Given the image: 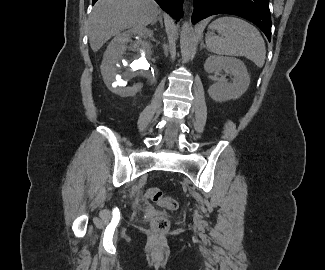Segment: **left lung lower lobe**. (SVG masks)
<instances>
[{
	"mask_svg": "<svg viewBox=\"0 0 325 270\" xmlns=\"http://www.w3.org/2000/svg\"><path fill=\"white\" fill-rule=\"evenodd\" d=\"M215 14H232L257 25L271 40L269 0H194L192 23Z\"/></svg>",
	"mask_w": 325,
	"mask_h": 270,
	"instance_id": "obj_1",
	"label": "left lung lower lobe"
}]
</instances>
